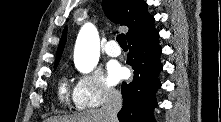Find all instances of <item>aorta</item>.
I'll list each match as a JSON object with an SVG mask.
<instances>
[{
	"label": "aorta",
	"mask_w": 221,
	"mask_h": 122,
	"mask_svg": "<svg viewBox=\"0 0 221 122\" xmlns=\"http://www.w3.org/2000/svg\"><path fill=\"white\" fill-rule=\"evenodd\" d=\"M100 40L96 27L85 24L77 37L74 64L82 73L91 72L99 61Z\"/></svg>",
	"instance_id": "aorta-1"
}]
</instances>
